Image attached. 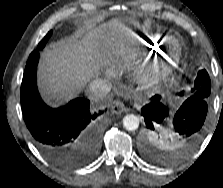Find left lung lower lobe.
Segmentation results:
<instances>
[{
	"mask_svg": "<svg viewBox=\"0 0 223 188\" xmlns=\"http://www.w3.org/2000/svg\"><path fill=\"white\" fill-rule=\"evenodd\" d=\"M207 109V100L190 96L174 115L173 113L169 115V108L164 104L161 96L155 95L141 109V113L144 117L146 129L165 127L176 136L183 151L189 152L200 139ZM167 124H169V127H167Z\"/></svg>",
	"mask_w": 223,
	"mask_h": 188,
	"instance_id": "left-lung-lower-lobe-1",
	"label": "left lung lower lobe"
}]
</instances>
